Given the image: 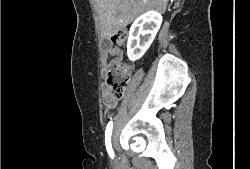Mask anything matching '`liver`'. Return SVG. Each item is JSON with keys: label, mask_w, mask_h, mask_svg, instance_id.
<instances>
[{"label": "liver", "mask_w": 250, "mask_h": 169, "mask_svg": "<svg viewBox=\"0 0 250 169\" xmlns=\"http://www.w3.org/2000/svg\"><path fill=\"white\" fill-rule=\"evenodd\" d=\"M167 2L168 0H93L102 38L110 40L113 34H118L119 30L148 8L165 12Z\"/></svg>", "instance_id": "6515ba94"}]
</instances>
